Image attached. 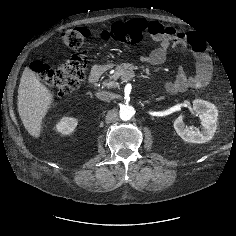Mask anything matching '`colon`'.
Here are the masks:
<instances>
[{
    "label": "colon",
    "mask_w": 236,
    "mask_h": 236,
    "mask_svg": "<svg viewBox=\"0 0 236 236\" xmlns=\"http://www.w3.org/2000/svg\"><path fill=\"white\" fill-rule=\"evenodd\" d=\"M147 23L143 19H132L114 23L109 29L100 32L103 40H113L119 43L133 45L142 41ZM94 35L83 27L73 28L61 33L60 39L64 45L76 50L65 63L57 68L35 61L32 70L36 76L55 94H68L76 90L84 80L87 67V54L83 45ZM231 87V84H228Z\"/></svg>",
    "instance_id": "obj_1"
}]
</instances>
